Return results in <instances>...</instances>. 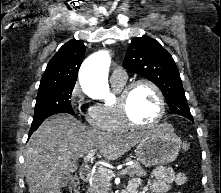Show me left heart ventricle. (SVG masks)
I'll return each instance as SVG.
<instances>
[{
	"mask_svg": "<svg viewBox=\"0 0 221 193\" xmlns=\"http://www.w3.org/2000/svg\"><path fill=\"white\" fill-rule=\"evenodd\" d=\"M130 113L135 121L142 124L152 122L159 111L156 93L147 85L134 88L129 102Z\"/></svg>",
	"mask_w": 221,
	"mask_h": 193,
	"instance_id": "1",
	"label": "left heart ventricle"
}]
</instances>
